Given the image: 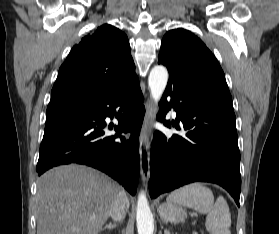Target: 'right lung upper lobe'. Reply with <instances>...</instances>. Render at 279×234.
<instances>
[{"mask_svg":"<svg viewBox=\"0 0 279 234\" xmlns=\"http://www.w3.org/2000/svg\"><path fill=\"white\" fill-rule=\"evenodd\" d=\"M136 78L126 34L112 25H102L70 51L59 69L48 108L93 103Z\"/></svg>","mask_w":279,"mask_h":234,"instance_id":"right-lung-upper-lobe-1","label":"right lung upper lobe"}]
</instances>
